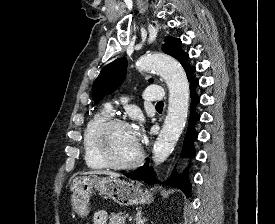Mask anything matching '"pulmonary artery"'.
Masks as SVG:
<instances>
[{"label":"pulmonary artery","instance_id":"e3ab8cb5","mask_svg":"<svg viewBox=\"0 0 275 224\" xmlns=\"http://www.w3.org/2000/svg\"><path fill=\"white\" fill-rule=\"evenodd\" d=\"M165 96V93L160 87H147L143 92V97L147 101H162ZM105 111L110 112L112 110V106L107 104L105 106Z\"/></svg>","mask_w":275,"mask_h":224}]
</instances>
